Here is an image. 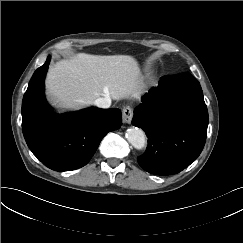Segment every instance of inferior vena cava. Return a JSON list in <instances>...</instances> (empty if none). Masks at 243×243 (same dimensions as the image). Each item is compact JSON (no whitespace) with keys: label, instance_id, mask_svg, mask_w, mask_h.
Listing matches in <instances>:
<instances>
[{"label":"inferior vena cava","instance_id":"inferior-vena-cava-1","mask_svg":"<svg viewBox=\"0 0 243 243\" xmlns=\"http://www.w3.org/2000/svg\"><path fill=\"white\" fill-rule=\"evenodd\" d=\"M94 104L98 107V108H109L111 105V99L110 97H100L98 99L95 100Z\"/></svg>","mask_w":243,"mask_h":243}]
</instances>
